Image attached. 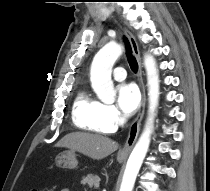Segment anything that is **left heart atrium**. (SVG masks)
Returning <instances> with one entry per match:
<instances>
[{
    "label": "left heart atrium",
    "instance_id": "39dd6f15",
    "mask_svg": "<svg viewBox=\"0 0 210 191\" xmlns=\"http://www.w3.org/2000/svg\"><path fill=\"white\" fill-rule=\"evenodd\" d=\"M140 92L134 84H121L118 87V105L125 115L133 114L140 105Z\"/></svg>",
    "mask_w": 210,
    "mask_h": 191
}]
</instances>
